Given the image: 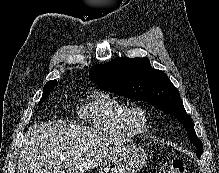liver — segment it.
<instances>
[{
  "label": "liver",
  "mask_w": 219,
  "mask_h": 173,
  "mask_svg": "<svg viewBox=\"0 0 219 173\" xmlns=\"http://www.w3.org/2000/svg\"><path fill=\"white\" fill-rule=\"evenodd\" d=\"M120 137L65 122L29 127L18 173H85L123 144Z\"/></svg>",
  "instance_id": "6515ba94"
}]
</instances>
